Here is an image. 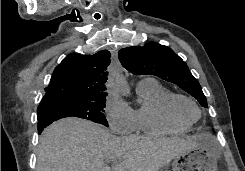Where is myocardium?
Here are the masks:
<instances>
[{"mask_svg": "<svg viewBox=\"0 0 245 171\" xmlns=\"http://www.w3.org/2000/svg\"><path fill=\"white\" fill-rule=\"evenodd\" d=\"M179 100L188 101L192 105L195 106V108L198 111V117L194 121H186L178 115V113L176 111V103ZM163 107H164V112H165L166 116L171 121H173L177 124H180V125L187 126V127L192 126L197 121H199V119L201 118V114H202L198 103L194 99H192L191 97H188L186 95L179 94V93H171L170 95H168L164 101Z\"/></svg>", "mask_w": 245, "mask_h": 171, "instance_id": "1", "label": "myocardium"}]
</instances>
